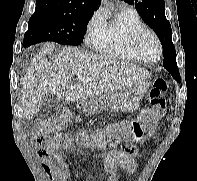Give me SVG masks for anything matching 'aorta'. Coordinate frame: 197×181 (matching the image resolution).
<instances>
[{
	"instance_id": "obj_1",
	"label": "aorta",
	"mask_w": 197,
	"mask_h": 181,
	"mask_svg": "<svg viewBox=\"0 0 197 181\" xmlns=\"http://www.w3.org/2000/svg\"><path fill=\"white\" fill-rule=\"evenodd\" d=\"M107 0H102V2H106Z\"/></svg>"
}]
</instances>
